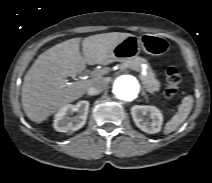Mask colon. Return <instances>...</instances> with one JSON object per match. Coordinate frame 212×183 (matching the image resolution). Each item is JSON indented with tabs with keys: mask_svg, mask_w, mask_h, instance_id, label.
<instances>
[{
	"mask_svg": "<svg viewBox=\"0 0 212 183\" xmlns=\"http://www.w3.org/2000/svg\"><path fill=\"white\" fill-rule=\"evenodd\" d=\"M181 83V75L179 71L171 67L166 72V86L164 88V96L171 99L178 91V87Z\"/></svg>",
	"mask_w": 212,
	"mask_h": 183,
	"instance_id": "5ec220e1",
	"label": "colon"
}]
</instances>
